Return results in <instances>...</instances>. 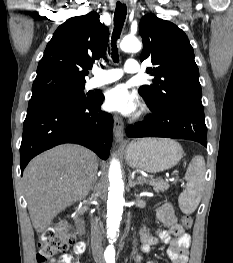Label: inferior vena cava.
Listing matches in <instances>:
<instances>
[{"label":"inferior vena cava","mask_w":233,"mask_h":263,"mask_svg":"<svg viewBox=\"0 0 233 263\" xmlns=\"http://www.w3.org/2000/svg\"><path fill=\"white\" fill-rule=\"evenodd\" d=\"M91 247L92 254L96 263H104L102 235L98 225V221L91 220Z\"/></svg>","instance_id":"obj_1"}]
</instances>
